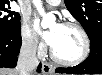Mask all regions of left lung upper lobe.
I'll use <instances>...</instances> for the list:
<instances>
[{
	"mask_svg": "<svg viewBox=\"0 0 102 75\" xmlns=\"http://www.w3.org/2000/svg\"><path fill=\"white\" fill-rule=\"evenodd\" d=\"M102 1L101 0H65L69 12L77 19L89 39L102 36Z\"/></svg>",
	"mask_w": 102,
	"mask_h": 75,
	"instance_id": "left-lung-upper-lobe-1",
	"label": "left lung upper lobe"
}]
</instances>
